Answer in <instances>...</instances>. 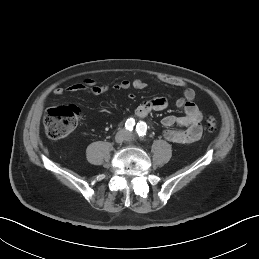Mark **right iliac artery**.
<instances>
[{"instance_id": "82829eb1", "label": "right iliac artery", "mask_w": 259, "mask_h": 259, "mask_svg": "<svg viewBox=\"0 0 259 259\" xmlns=\"http://www.w3.org/2000/svg\"><path fill=\"white\" fill-rule=\"evenodd\" d=\"M135 125V120L133 118H129L127 119L126 123H125V127L127 130L132 131L133 127Z\"/></svg>"}]
</instances>
